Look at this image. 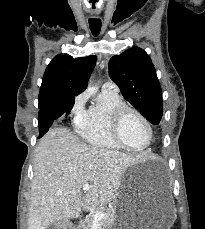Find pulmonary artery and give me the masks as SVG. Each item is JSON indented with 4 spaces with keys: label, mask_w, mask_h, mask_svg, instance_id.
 Wrapping results in <instances>:
<instances>
[{
    "label": "pulmonary artery",
    "mask_w": 205,
    "mask_h": 229,
    "mask_svg": "<svg viewBox=\"0 0 205 229\" xmlns=\"http://www.w3.org/2000/svg\"><path fill=\"white\" fill-rule=\"evenodd\" d=\"M103 88L105 89H109V90H112L114 92H118V87L113 83V82H106L104 85H103Z\"/></svg>",
    "instance_id": "e3ab8cb5"
}]
</instances>
